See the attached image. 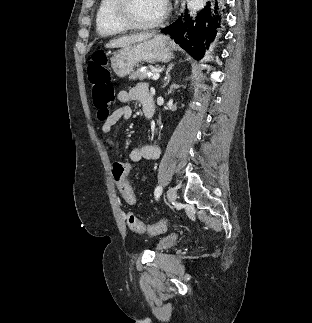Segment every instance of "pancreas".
<instances>
[{
    "instance_id": "1",
    "label": "pancreas",
    "mask_w": 312,
    "mask_h": 323,
    "mask_svg": "<svg viewBox=\"0 0 312 323\" xmlns=\"http://www.w3.org/2000/svg\"><path fill=\"white\" fill-rule=\"evenodd\" d=\"M149 72H151V70H141V68H138L136 72L130 74L129 78L130 80H145V78H149Z\"/></svg>"
}]
</instances>
